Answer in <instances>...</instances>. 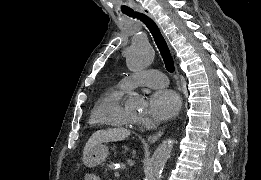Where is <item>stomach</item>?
<instances>
[{
	"instance_id": "obj_1",
	"label": "stomach",
	"mask_w": 261,
	"mask_h": 180,
	"mask_svg": "<svg viewBox=\"0 0 261 180\" xmlns=\"http://www.w3.org/2000/svg\"><path fill=\"white\" fill-rule=\"evenodd\" d=\"M109 149L106 145L98 144L91 148L83 157L84 165L87 167H95L102 164L108 157Z\"/></svg>"
}]
</instances>
